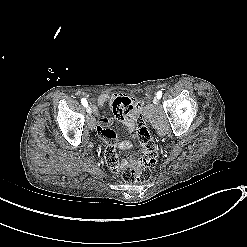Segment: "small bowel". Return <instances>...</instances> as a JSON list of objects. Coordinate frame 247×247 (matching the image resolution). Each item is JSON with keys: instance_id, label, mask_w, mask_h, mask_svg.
Returning <instances> with one entry per match:
<instances>
[{"instance_id": "obj_1", "label": "small bowel", "mask_w": 247, "mask_h": 247, "mask_svg": "<svg viewBox=\"0 0 247 247\" xmlns=\"http://www.w3.org/2000/svg\"><path fill=\"white\" fill-rule=\"evenodd\" d=\"M126 97L123 96H99L95 99V102L98 106H102L104 103H106L108 100L111 102L113 115L116 119L122 122L125 130L128 133H131L134 130V119L125 117L122 115L121 107L124 105V110L126 112H131L133 116H138L140 112H142L143 107L140 104L136 105V101L134 99H125ZM95 113L97 115H100L102 113V110L100 108H95ZM97 124L98 126L94 128L93 133L95 136L100 137L103 136L104 138L109 139L110 143L113 145H116L120 141L119 135L112 129L107 128L109 124V121L106 117L101 116L97 118ZM131 146V143L128 141H123L120 143V147L123 149H127ZM117 151L112 146H109L107 148L105 157L108 162V167L111 172L116 173L120 169V163L117 160Z\"/></svg>"}]
</instances>
